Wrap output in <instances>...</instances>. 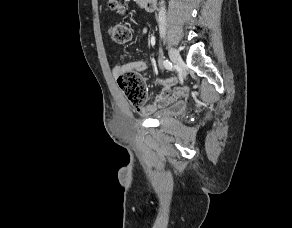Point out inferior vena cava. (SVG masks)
<instances>
[{
    "label": "inferior vena cava",
    "mask_w": 292,
    "mask_h": 228,
    "mask_svg": "<svg viewBox=\"0 0 292 228\" xmlns=\"http://www.w3.org/2000/svg\"><path fill=\"white\" fill-rule=\"evenodd\" d=\"M164 1H161V5H163ZM158 21H159V31L160 36L165 37L166 34V10L164 6H161L159 15H158Z\"/></svg>",
    "instance_id": "1"
}]
</instances>
